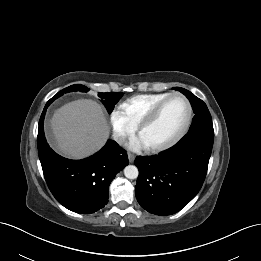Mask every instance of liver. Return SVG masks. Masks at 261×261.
<instances>
[{"label":"liver","instance_id":"obj_1","mask_svg":"<svg viewBox=\"0 0 261 261\" xmlns=\"http://www.w3.org/2000/svg\"><path fill=\"white\" fill-rule=\"evenodd\" d=\"M51 127L57 149L74 159L94 154L104 146L110 132L101 106L88 99L59 108L52 117Z\"/></svg>","mask_w":261,"mask_h":261}]
</instances>
